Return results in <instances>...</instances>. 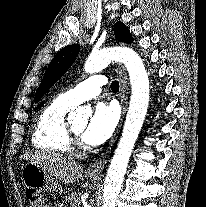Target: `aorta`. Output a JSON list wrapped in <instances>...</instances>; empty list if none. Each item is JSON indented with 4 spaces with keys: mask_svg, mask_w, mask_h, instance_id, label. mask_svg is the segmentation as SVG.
I'll list each match as a JSON object with an SVG mask.
<instances>
[{
    "mask_svg": "<svg viewBox=\"0 0 206 207\" xmlns=\"http://www.w3.org/2000/svg\"><path fill=\"white\" fill-rule=\"evenodd\" d=\"M111 61L121 62L126 66L132 93L123 132L105 178L102 207H116L127 165L147 113L150 91L143 61L130 48H106L92 53L85 62L84 70L88 73H97L106 68ZM85 115L86 110L79 107L69 115V120H76Z\"/></svg>",
    "mask_w": 206,
    "mask_h": 207,
    "instance_id": "aorta-1",
    "label": "aorta"
}]
</instances>
